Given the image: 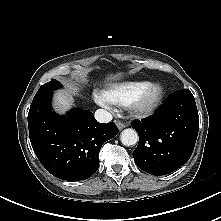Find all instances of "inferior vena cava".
I'll return each mask as SVG.
<instances>
[{
  "mask_svg": "<svg viewBox=\"0 0 221 221\" xmlns=\"http://www.w3.org/2000/svg\"><path fill=\"white\" fill-rule=\"evenodd\" d=\"M94 116L100 123H108L113 118L112 114L104 109L96 110Z\"/></svg>",
  "mask_w": 221,
  "mask_h": 221,
  "instance_id": "obj_1",
  "label": "inferior vena cava"
}]
</instances>
